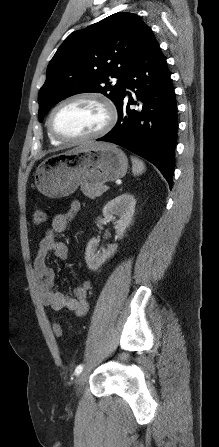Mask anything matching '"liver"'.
<instances>
[{
  "label": "liver",
  "instance_id": "1",
  "mask_svg": "<svg viewBox=\"0 0 219 447\" xmlns=\"http://www.w3.org/2000/svg\"><path fill=\"white\" fill-rule=\"evenodd\" d=\"M81 147H83V146H81ZM80 148V147H79ZM78 148H76V149H73V150H71L70 152H72V151H74V150H77Z\"/></svg>",
  "mask_w": 219,
  "mask_h": 447
}]
</instances>
